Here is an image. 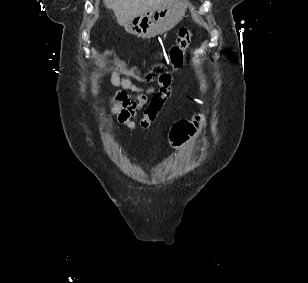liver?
<instances>
[{"label":"liver","instance_id":"obj_1","mask_svg":"<svg viewBox=\"0 0 308 283\" xmlns=\"http://www.w3.org/2000/svg\"><path fill=\"white\" fill-rule=\"evenodd\" d=\"M172 0H104L112 8L119 25L124 26L133 17L147 12L155 6L169 3Z\"/></svg>","mask_w":308,"mask_h":283}]
</instances>
